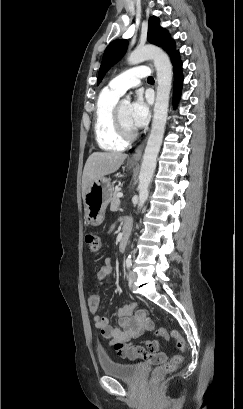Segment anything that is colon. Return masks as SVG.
Returning a JSON list of instances; mask_svg holds the SVG:
<instances>
[{
	"mask_svg": "<svg viewBox=\"0 0 243 409\" xmlns=\"http://www.w3.org/2000/svg\"><path fill=\"white\" fill-rule=\"evenodd\" d=\"M85 242L88 245L91 252L96 253L100 249V240L93 232H88L85 236ZM99 303V297L95 293H91L88 296V304L90 308L95 309ZM153 315V312H151ZM156 334L167 342L171 337L176 340L179 353L173 355L170 359L163 361L153 372V378L155 381L161 380L165 375L173 372L176 367L183 361L184 352L186 351V343L177 331H172L171 335L165 329H158Z\"/></svg>",
	"mask_w": 243,
	"mask_h": 409,
	"instance_id": "colon-1",
	"label": "colon"
}]
</instances>
